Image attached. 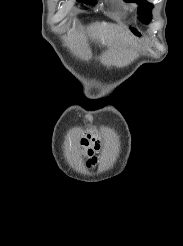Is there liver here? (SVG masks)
Instances as JSON below:
<instances>
[{"instance_id":"liver-1","label":"liver","mask_w":183,"mask_h":246,"mask_svg":"<svg viewBox=\"0 0 183 246\" xmlns=\"http://www.w3.org/2000/svg\"><path fill=\"white\" fill-rule=\"evenodd\" d=\"M89 31H90L92 36H97V35H99L100 26L98 24L91 25L89 27Z\"/></svg>"}]
</instances>
